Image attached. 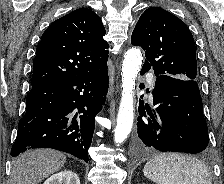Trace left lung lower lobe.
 Instances as JSON below:
<instances>
[{"mask_svg": "<svg viewBox=\"0 0 224 184\" xmlns=\"http://www.w3.org/2000/svg\"><path fill=\"white\" fill-rule=\"evenodd\" d=\"M147 71L142 69L141 74ZM156 77L152 91L155 108L151 110L146 105L145 111L144 101H139L138 144L162 152L205 151L209 142L208 127L197 82L168 75Z\"/></svg>", "mask_w": 224, "mask_h": 184, "instance_id": "1", "label": "left lung lower lobe"}]
</instances>
